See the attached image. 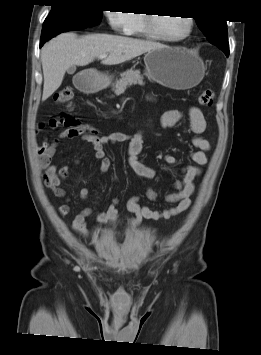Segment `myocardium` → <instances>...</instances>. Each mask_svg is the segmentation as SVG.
<instances>
[{
	"label": "myocardium",
	"instance_id": "obj_1",
	"mask_svg": "<svg viewBox=\"0 0 261 355\" xmlns=\"http://www.w3.org/2000/svg\"><path fill=\"white\" fill-rule=\"evenodd\" d=\"M155 14L152 13H147L144 14V27L146 32L153 38L158 39V40H162V41H166V42H172V43H176V42H181L185 39H187L193 32L194 29V19L190 16H186L185 19L188 23V30L186 31V33L178 38H171V37H167L162 35L157 27H156V17L154 16Z\"/></svg>",
	"mask_w": 261,
	"mask_h": 355
}]
</instances>
